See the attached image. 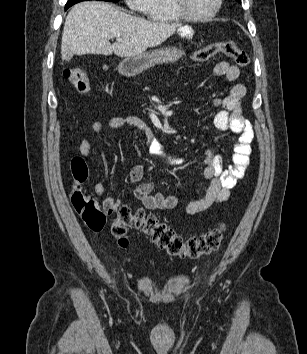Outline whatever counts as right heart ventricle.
<instances>
[{"mask_svg":"<svg viewBox=\"0 0 307 354\" xmlns=\"http://www.w3.org/2000/svg\"><path fill=\"white\" fill-rule=\"evenodd\" d=\"M144 13L148 19L154 22L168 23L181 20L175 12L171 0H149Z\"/></svg>","mask_w":307,"mask_h":354,"instance_id":"right-heart-ventricle-1","label":"right heart ventricle"}]
</instances>
